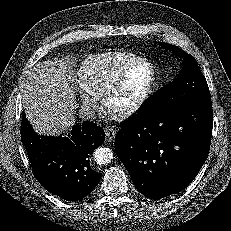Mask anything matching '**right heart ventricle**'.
I'll list each match as a JSON object with an SVG mask.
<instances>
[{
  "label": "right heart ventricle",
  "instance_id": "1",
  "mask_svg": "<svg viewBox=\"0 0 231 231\" xmlns=\"http://www.w3.org/2000/svg\"><path fill=\"white\" fill-rule=\"evenodd\" d=\"M140 57L130 53L108 52L92 55L77 69V82L81 89L94 98L102 95L105 87L124 69Z\"/></svg>",
  "mask_w": 231,
  "mask_h": 231
}]
</instances>
